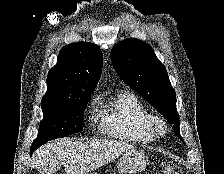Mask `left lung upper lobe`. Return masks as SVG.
<instances>
[{
    "mask_svg": "<svg viewBox=\"0 0 224 174\" xmlns=\"http://www.w3.org/2000/svg\"><path fill=\"white\" fill-rule=\"evenodd\" d=\"M111 58L124 82L153 105L173 125L175 134L184 142L180 135L176 93L165 66L157 59L153 49L140 40L127 39L114 46Z\"/></svg>",
    "mask_w": 224,
    "mask_h": 174,
    "instance_id": "1",
    "label": "left lung upper lobe"
}]
</instances>
